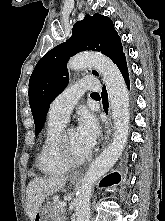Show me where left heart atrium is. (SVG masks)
Returning a JSON list of instances; mask_svg holds the SVG:
<instances>
[{"instance_id":"1","label":"left heart atrium","mask_w":165,"mask_h":221,"mask_svg":"<svg viewBox=\"0 0 165 221\" xmlns=\"http://www.w3.org/2000/svg\"><path fill=\"white\" fill-rule=\"evenodd\" d=\"M77 132L82 141L91 149L99 136V125L96 118L89 112L79 117Z\"/></svg>"}]
</instances>
